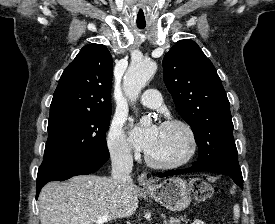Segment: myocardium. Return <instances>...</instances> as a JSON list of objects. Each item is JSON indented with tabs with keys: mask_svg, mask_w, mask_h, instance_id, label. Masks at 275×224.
Returning a JSON list of instances; mask_svg holds the SVG:
<instances>
[{
	"mask_svg": "<svg viewBox=\"0 0 275 224\" xmlns=\"http://www.w3.org/2000/svg\"><path fill=\"white\" fill-rule=\"evenodd\" d=\"M162 127H171V126H176L181 128L188 139V150L186 154L180 158L179 160L173 161V162H159L154 159H152L148 153L145 155V161L146 163L156 169H175L179 168L181 166H184L187 164L194 156L196 149H197V139L195 132L193 128L188 124L186 121L182 119H177V118H171L165 120L162 124Z\"/></svg>",
	"mask_w": 275,
	"mask_h": 224,
	"instance_id": "obj_1",
	"label": "myocardium"
}]
</instances>
